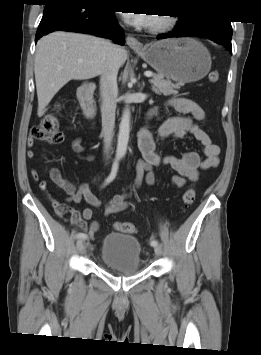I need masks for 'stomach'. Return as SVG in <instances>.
Listing matches in <instances>:
<instances>
[{
	"label": "stomach",
	"mask_w": 261,
	"mask_h": 355,
	"mask_svg": "<svg viewBox=\"0 0 261 355\" xmlns=\"http://www.w3.org/2000/svg\"><path fill=\"white\" fill-rule=\"evenodd\" d=\"M160 76L179 83H190L204 78L211 69L207 48L193 38H172L146 45L137 50Z\"/></svg>",
	"instance_id": "obj_1"
}]
</instances>
